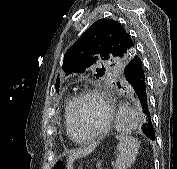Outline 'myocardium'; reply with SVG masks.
I'll list each match as a JSON object with an SVG mask.
<instances>
[{"label": "myocardium", "instance_id": "myocardium-1", "mask_svg": "<svg viewBox=\"0 0 177 169\" xmlns=\"http://www.w3.org/2000/svg\"><path fill=\"white\" fill-rule=\"evenodd\" d=\"M87 97H95L99 99V101L101 102L105 110V120L102 126L95 132L89 135L79 136L78 130H77V110H78V106L81 103V101ZM70 119H71L72 129L77 137V140L79 142H82V141L91 140L98 136H101L109 130L112 119H113V110H112V107L107 97L101 91L95 88H85L79 91L74 97V100L71 106V111H70Z\"/></svg>", "mask_w": 177, "mask_h": 169}]
</instances>
